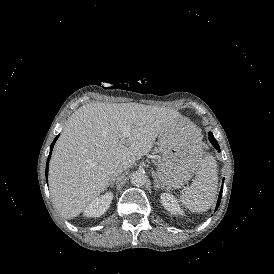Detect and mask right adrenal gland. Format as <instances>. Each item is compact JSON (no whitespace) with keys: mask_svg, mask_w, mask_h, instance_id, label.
I'll list each match as a JSON object with an SVG mask.
<instances>
[{"mask_svg":"<svg viewBox=\"0 0 274 274\" xmlns=\"http://www.w3.org/2000/svg\"><path fill=\"white\" fill-rule=\"evenodd\" d=\"M116 179H114L111 183H110V187L113 188L114 184H115Z\"/></svg>","mask_w":274,"mask_h":274,"instance_id":"obj_1","label":"right adrenal gland"}]
</instances>
